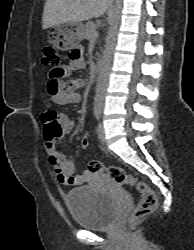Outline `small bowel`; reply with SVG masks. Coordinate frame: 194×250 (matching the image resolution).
<instances>
[{"instance_id": "small-bowel-1", "label": "small bowel", "mask_w": 194, "mask_h": 250, "mask_svg": "<svg viewBox=\"0 0 194 250\" xmlns=\"http://www.w3.org/2000/svg\"><path fill=\"white\" fill-rule=\"evenodd\" d=\"M83 67V58L80 57L77 60L70 58L69 64L58 69L62 72L61 76L50 75L47 82L48 105H66L79 102L80 94L78 90L85 86L84 80L71 79L64 81L61 77ZM42 121L44 123V151L49 164L57 174L58 180L68 186H78L87 181L91 176L90 172L84 170L82 173L75 175L73 159L66 156L55 146V142L59 137L69 134L74 129V120L67 113L47 109L42 114Z\"/></svg>"}]
</instances>
